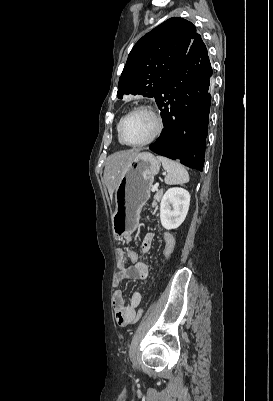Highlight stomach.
Wrapping results in <instances>:
<instances>
[{"label": "stomach", "mask_w": 273, "mask_h": 401, "mask_svg": "<svg viewBox=\"0 0 273 401\" xmlns=\"http://www.w3.org/2000/svg\"><path fill=\"white\" fill-rule=\"evenodd\" d=\"M160 162L152 152H141L138 158L121 170L120 182L115 188L116 209L111 217L116 239L129 237L139 225L143 205L150 198V190Z\"/></svg>", "instance_id": "stomach-1"}]
</instances>
